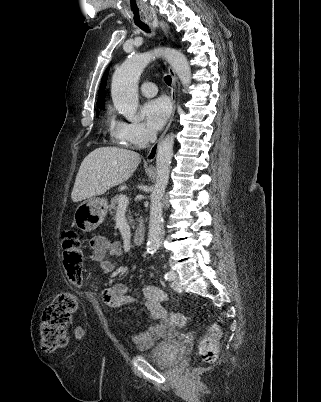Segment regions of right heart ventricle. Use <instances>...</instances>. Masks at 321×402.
I'll return each instance as SVG.
<instances>
[{
	"instance_id": "1",
	"label": "right heart ventricle",
	"mask_w": 321,
	"mask_h": 402,
	"mask_svg": "<svg viewBox=\"0 0 321 402\" xmlns=\"http://www.w3.org/2000/svg\"><path fill=\"white\" fill-rule=\"evenodd\" d=\"M108 125H109V128H110V129L113 131V133L115 134V136H116L119 140H121V139H120V135H119V130H120L121 126H122V122H118V121H116V120L114 119L113 116H109V117H108Z\"/></svg>"
}]
</instances>
